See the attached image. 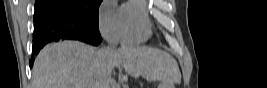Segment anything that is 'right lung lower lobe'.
<instances>
[{"label": "right lung lower lobe", "mask_w": 267, "mask_h": 88, "mask_svg": "<svg viewBox=\"0 0 267 88\" xmlns=\"http://www.w3.org/2000/svg\"><path fill=\"white\" fill-rule=\"evenodd\" d=\"M33 53L47 44L59 39H74L97 46L102 38L97 28H89L81 21L75 20L57 8L41 3L35 6ZM33 64L30 63V67Z\"/></svg>", "instance_id": "right-lung-lower-lobe-1"}]
</instances>
